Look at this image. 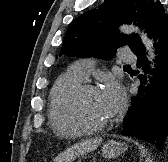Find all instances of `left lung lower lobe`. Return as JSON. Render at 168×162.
I'll use <instances>...</instances> for the list:
<instances>
[{
  "label": "left lung lower lobe",
  "mask_w": 168,
  "mask_h": 162,
  "mask_svg": "<svg viewBox=\"0 0 168 162\" xmlns=\"http://www.w3.org/2000/svg\"><path fill=\"white\" fill-rule=\"evenodd\" d=\"M149 37L153 39L156 69L147 84L144 74L138 75L141 84L137 96L132 98L131 106L123 120V134L145 140L157 147L164 146L168 136V15L162 16L151 28ZM138 57L137 66L146 73L149 64L143 45L133 51Z\"/></svg>",
  "instance_id": "left-lung-lower-lobe-1"
}]
</instances>
